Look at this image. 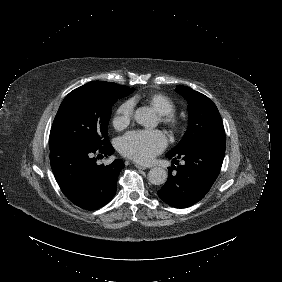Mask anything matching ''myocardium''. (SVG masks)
I'll return each mask as SVG.
<instances>
[{
    "instance_id": "f54148a6",
    "label": "myocardium",
    "mask_w": 282,
    "mask_h": 282,
    "mask_svg": "<svg viewBox=\"0 0 282 282\" xmlns=\"http://www.w3.org/2000/svg\"><path fill=\"white\" fill-rule=\"evenodd\" d=\"M159 120L160 122L167 123L170 125H173L175 123V118L171 114L160 115Z\"/></svg>"
}]
</instances>
